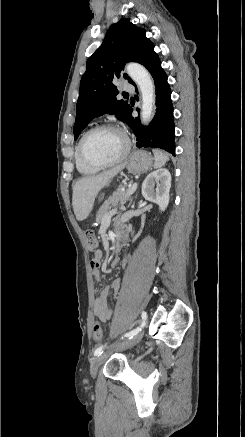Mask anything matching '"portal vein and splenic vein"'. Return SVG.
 <instances>
[{
    "label": "portal vein and splenic vein",
    "mask_w": 245,
    "mask_h": 437,
    "mask_svg": "<svg viewBox=\"0 0 245 437\" xmlns=\"http://www.w3.org/2000/svg\"><path fill=\"white\" fill-rule=\"evenodd\" d=\"M137 189V183H133L129 185V195H132ZM117 209H114L110 214H107L106 217H111L113 214H115Z\"/></svg>",
    "instance_id": "1"
}]
</instances>
